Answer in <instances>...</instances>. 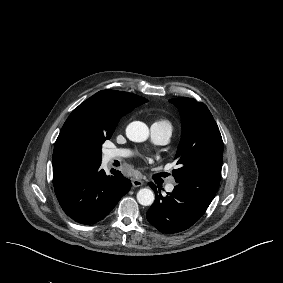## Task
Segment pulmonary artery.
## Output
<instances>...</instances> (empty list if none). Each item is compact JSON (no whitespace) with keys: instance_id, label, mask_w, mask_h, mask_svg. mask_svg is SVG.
Listing matches in <instances>:
<instances>
[{"instance_id":"e3ab8cb5","label":"pulmonary artery","mask_w":283,"mask_h":283,"mask_svg":"<svg viewBox=\"0 0 283 283\" xmlns=\"http://www.w3.org/2000/svg\"><path fill=\"white\" fill-rule=\"evenodd\" d=\"M151 131V137L152 140L159 144V145H165L169 142L171 137V132L165 128H161L155 125H152L150 128ZM131 154V152L127 149H111L107 152V158L111 161L113 160H119L124 157H127ZM177 183L174 178H170L166 185L165 190L169 193L173 192L175 189Z\"/></svg>"}]
</instances>
